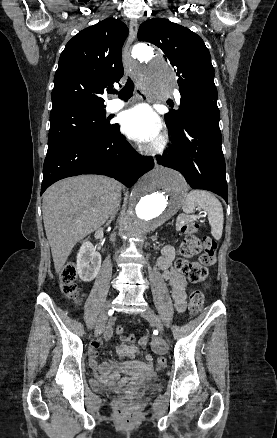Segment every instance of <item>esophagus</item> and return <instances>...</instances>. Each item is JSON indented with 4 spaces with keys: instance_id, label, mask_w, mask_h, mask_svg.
I'll use <instances>...</instances> for the list:
<instances>
[{
    "instance_id": "obj_1",
    "label": "esophagus",
    "mask_w": 277,
    "mask_h": 438,
    "mask_svg": "<svg viewBox=\"0 0 277 438\" xmlns=\"http://www.w3.org/2000/svg\"><path fill=\"white\" fill-rule=\"evenodd\" d=\"M137 31H138V22L135 18H133L130 21V36H129V39L127 41V44H126L125 50H124V58L125 59H131V44L136 39ZM135 93L138 96V98H140L141 100L143 98H145V93L143 92V90L141 89V87L139 85L137 86Z\"/></svg>"
}]
</instances>
